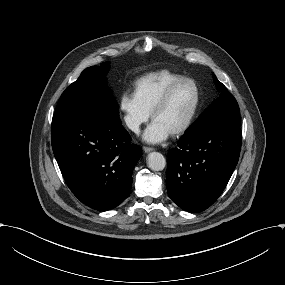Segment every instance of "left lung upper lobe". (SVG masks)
Returning <instances> with one entry per match:
<instances>
[{"mask_svg":"<svg viewBox=\"0 0 285 285\" xmlns=\"http://www.w3.org/2000/svg\"><path fill=\"white\" fill-rule=\"evenodd\" d=\"M214 83L220 90V96L199 116V118L188 128L189 132L196 126L200 125L204 121L215 117L217 115L225 114L228 112H239V106L232 94L225 88V86L219 82L216 76L213 74Z\"/></svg>","mask_w":285,"mask_h":285,"instance_id":"left-lung-upper-lobe-1","label":"left lung upper lobe"}]
</instances>
